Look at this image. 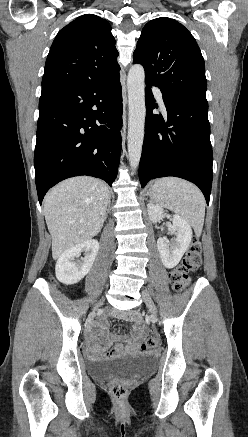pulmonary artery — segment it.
Listing matches in <instances>:
<instances>
[{
    "label": "pulmonary artery",
    "mask_w": 248,
    "mask_h": 437,
    "mask_svg": "<svg viewBox=\"0 0 248 437\" xmlns=\"http://www.w3.org/2000/svg\"><path fill=\"white\" fill-rule=\"evenodd\" d=\"M154 93H155V96H156L157 101L159 102L160 106L162 108H165L164 101H163V95H162L161 91L158 89H155Z\"/></svg>",
    "instance_id": "pulmonary-artery-1"
}]
</instances>
